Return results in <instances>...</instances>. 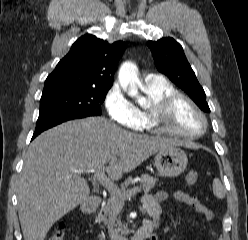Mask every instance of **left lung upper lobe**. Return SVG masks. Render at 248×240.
I'll list each match as a JSON object with an SVG mask.
<instances>
[{
	"label": "left lung upper lobe",
	"mask_w": 248,
	"mask_h": 240,
	"mask_svg": "<svg viewBox=\"0 0 248 240\" xmlns=\"http://www.w3.org/2000/svg\"><path fill=\"white\" fill-rule=\"evenodd\" d=\"M147 45L153 54L157 69L183 89L199 108L210 112L205 92L188 63L182 46L171 37L149 41Z\"/></svg>",
	"instance_id": "1"
}]
</instances>
